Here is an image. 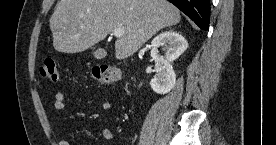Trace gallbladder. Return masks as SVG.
<instances>
[{"mask_svg": "<svg viewBox=\"0 0 276 145\" xmlns=\"http://www.w3.org/2000/svg\"><path fill=\"white\" fill-rule=\"evenodd\" d=\"M93 56L96 59H103L106 56V52L104 49L99 48L93 52Z\"/></svg>", "mask_w": 276, "mask_h": 145, "instance_id": "bac80fb5", "label": "gallbladder"}]
</instances>
